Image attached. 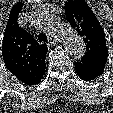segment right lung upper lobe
<instances>
[{
    "instance_id": "obj_1",
    "label": "right lung upper lobe",
    "mask_w": 113,
    "mask_h": 113,
    "mask_svg": "<svg viewBox=\"0 0 113 113\" xmlns=\"http://www.w3.org/2000/svg\"><path fill=\"white\" fill-rule=\"evenodd\" d=\"M22 4L12 7L5 29L2 55L6 68L18 80L27 84H38L45 72L47 48L38 44L34 38L17 23Z\"/></svg>"
}]
</instances>
